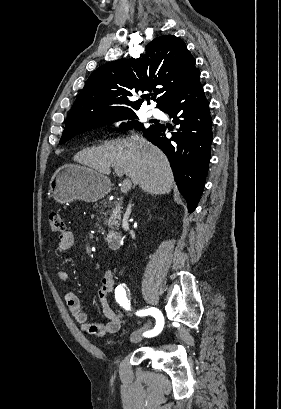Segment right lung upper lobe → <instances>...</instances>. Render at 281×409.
I'll return each instance as SVG.
<instances>
[{"mask_svg":"<svg viewBox=\"0 0 281 409\" xmlns=\"http://www.w3.org/2000/svg\"><path fill=\"white\" fill-rule=\"evenodd\" d=\"M198 69L185 43L176 36L163 35L147 46V55L120 59L96 69L78 95L65 128L83 127L108 117L138 110L143 100L128 96L153 90L156 107L177 94Z\"/></svg>","mask_w":281,"mask_h":409,"instance_id":"obj_1","label":"right lung upper lobe"}]
</instances>
